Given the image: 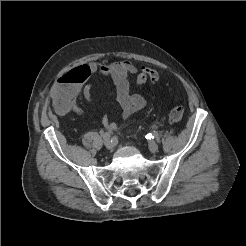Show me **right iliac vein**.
Instances as JSON below:
<instances>
[{"label": "right iliac vein", "mask_w": 246, "mask_h": 246, "mask_svg": "<svg viewBox=\"0 0 246 246\" xmlns=\"http://www.w3.org/2000/svg\"><path fill=\"white\" fill-rule=\"evenodd\" d=\"M104 145L107 149H112L113 148V142L112 139L110 138H105L104 139Z\"/></svg>", "instance_id": "right-iliac-vein-1"}]
</instances>
